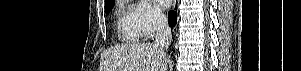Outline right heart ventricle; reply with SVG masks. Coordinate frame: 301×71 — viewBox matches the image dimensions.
Wrapping results in <instances>:
<instances>
[{
	"mask_svg": "<svg viewBox=\"0 0 301 71\" xmlns=\"http://www.w3.org/2000/svg\"><path fill=\"white\" fill-rule=\"evenodd\" d=\"M117 30L119 36L129 42H137L141 38L130 17V10L120 7L118 19H117Z\"/></svg>",
	"mask_w": 301,
	"mask_h": 71,
	"instance_id": "e07e8e85",
	"label": "right heart ventricle"
}]
</instances>
